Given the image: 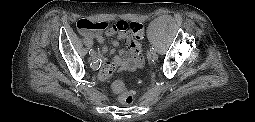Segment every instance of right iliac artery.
Here are the masks:
<instances>
[{"mask_svg": "<svg viewBox=\"0 0 255 122\" xmlns=\"http://www.w3.org/2000/svg\"><path fill=\"white\" fill-rule=\"evenodd\" d=\"M93 53H95V50L94 49H90L89 54L92 55Z\"/></svg>", "mask_w": 255, "mask_h": 122, "instance_id": "82829eb1", "label": "right iliac artery"}]
</instances>
